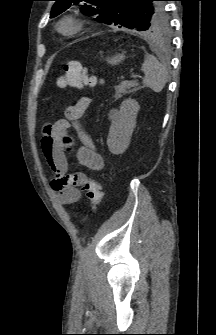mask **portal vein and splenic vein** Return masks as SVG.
Returning a JSON list of instances; mask_svg holds the SVG:
<instances>
[{
  "label": "portal vein and splenic vein",
  "mask_w": 216,
  "mask_h": 335,
  "mask_svg": "<svg viewBox=\"0 0 216 335\" xmlns=\"http://www.w3.org/2000/svg\"><path fill=\"white\" fill-rule=\"evenodd\" d=\"M132 78H141V76L137 75V74H132L131 75Z\"/></svg>",
  "instance_id": "portal-vein-and-splenic-vein-1"
}]
</instances>
